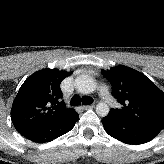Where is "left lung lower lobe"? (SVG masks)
<instances>
[{
  "label": "left lung lower lobe",
  "mask_w": 164,
  "mask_h": 164,
  "mask_svg": "<svg viewBox=\"0 0 164 164\" xmlns=\"http://www.w3.org/2000/svg\"><path fill=\"white\" fill-rule=\"evenodd\" d=\"M102 124L110 136L127 144L146 143L156 137L160 132L122 120L113 113H109L104 117Z\"/></svg>",
  "instance_id": "obj_1"
}]
</instances>
